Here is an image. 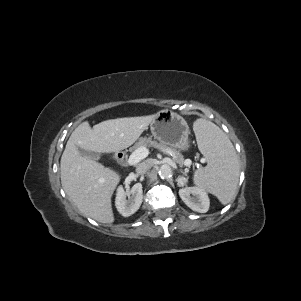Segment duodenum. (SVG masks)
I'll list each match as a JSON object with an SVG mask.
<instances>
[{
  "label": "duodenum",
  "instance_id": "obj_1",
  "mask_svg": "<svg viewBox=\"0 0 301 301\" xmlns=\"http://www.w3.org/2000/svg\"><path fill=\"white\" fill-rule=\"evenodd\" d=\"M119 159H120L122 162H124V160H125L124 153L119 154Z\"/></svg>",
  "mask_w": 301,
  "mask_h": 301
}]
</instances>
